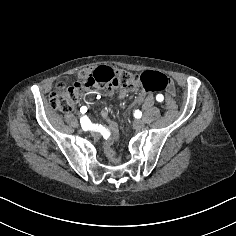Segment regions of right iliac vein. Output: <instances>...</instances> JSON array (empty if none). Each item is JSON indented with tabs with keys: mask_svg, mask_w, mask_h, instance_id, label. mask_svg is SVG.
Returning a JSON list of instances; mask_svg holds the SVG:
<instances>
[{
	"mask_svg": "<svg viewBox=\"0 0 236 236\" xmlns=\"http://www.w3.org/2000/svg\"><path fill=\"white\" fill-rule=\"evenodd\" d=\"M92 137H97V132H92Z\"/></svg>",
	"mask_w": 236,
	"mask_h": 236,
	"instance_id": "1",
	"label": "right iliac vein"
}]
</instances>
